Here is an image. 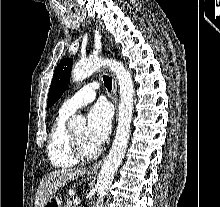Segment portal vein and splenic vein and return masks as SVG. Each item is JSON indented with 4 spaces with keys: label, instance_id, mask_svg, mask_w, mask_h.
Wrapping results in <instances>:
<instances>
[{
    "label": "portal vein and splenic vein",
    "instance_id": "portal-vein-and-splenic-vein-1",
    "mask_svg": "<svg viewBox=\"0 0 220 207\" xmlns=\"http://www.w3.org/2000/svg\"><path fill=\"white\" fill-rule=\"evenodd\" d=\"M81 203V200L79 199V198H76L75 200H74V204L75 205H79Z\"/></svg>",
    "mask_w": 220,
    "mask_h": 207
}]
</instances>
